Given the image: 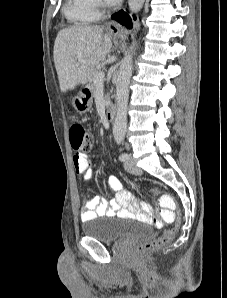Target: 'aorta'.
I'll return each mask as SVG.
<instances>
[{"instance_id":"1","label":"aorta","mask_w":227,"mask_h":298,"mask_svg":"<svg viewBox=\"0 0 227 298\" xmlns=\"http://www.w3.org/2000/svg\"><path fill=\"white\" fill-rule=\"evenodd\" d=\"M145 0H128L129 9L132 13L139 12ZM133 70V57L127 53L120 62L116 81L117 113L113 124V136L116 140H123L127 128V110L129 98V82Z\"/></svg>"}]
</instances>
